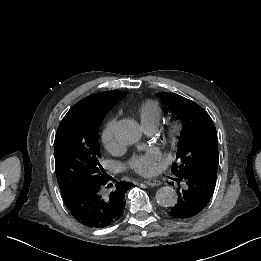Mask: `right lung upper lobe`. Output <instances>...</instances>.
<instances>
[{"mask_svg": "<svg viewBox=\"0 0 261 261\" xmlns=\"http://www.w3.org/2000/svg\"><path fill=\"white\" fill-rule=\"evenodd\" d=\"M127 92L107 91L92 94L79 101L73 108L86 109L93 112L107 113L116 102L123 99Z\"/></svg>", "mask_w": 261, "mask_h": 261, "instance_id": "cb5924a9", "label": "right lung upper lobe"}]
</instances>
